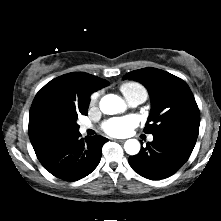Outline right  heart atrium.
<instances>
[{
	"label": "right heart atrium",
	"mask_w": 221,
	"mask_h": 221,
	"mask_svg": "<svg viewBox=\"0 0 221 221\" xmlns=\"http://www.w3.org/2000/svg\"><path fill=\"white\" fill-rule=\"evenodd\" d=\"M98 97H99V93L92 94V96L90 98V105L91 106H93V105H95L97 103Z\"/></svg>",
	"instance_id": "obj_1"
}]
</instances>
